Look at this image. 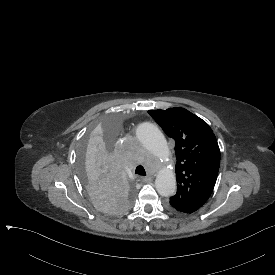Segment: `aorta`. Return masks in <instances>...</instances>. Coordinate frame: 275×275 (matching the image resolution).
<instances>
[{
  "instance_id": "aorta-1",
  "label": "aorta",
  "mask_w": 275,
  "mask_h": 275,
  "mask_svg": "<svg viewBox=\"0 0 275 275\" xmlns=\"http://www.w3.org/2000/svg\"><path fill=\"white\" fill-rule=\"evenodd\" d=\"M138 139L147 145L164 148L168 152L167 142L163 133L153 123L143 122L136 129ZM155 187L163 197L173 196L176 193L175 173L170 169H162L156 176Z\"/></svg>"
}]
</instances>
